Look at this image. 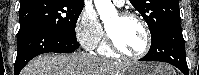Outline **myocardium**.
<instances>
[{
  "label": "myocardium",
  "mask_w": 199,
  "mask_h": 75,
  "mask_svg": "<svg viewBox=\"0 0 199 75\" xmlns=\"http://www.w3.org/2000/svg\"><path fill=\"white\" fill-rule=\"evenodd\" d=\"M119 16L122 19H134L141 25L145 34V46H144V49L137 54H127L115 43V41L113 40V38L107 31V44L109 48L112 50V52L126 59L137 60L144 57L149 52L152 45V37H151V32H150L148 24L141 16L132 12H123V13H120Z\"/></svg>",
  "instance_id": "f54148a6"
}]
</instances>
